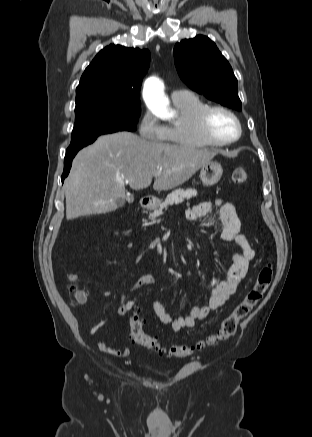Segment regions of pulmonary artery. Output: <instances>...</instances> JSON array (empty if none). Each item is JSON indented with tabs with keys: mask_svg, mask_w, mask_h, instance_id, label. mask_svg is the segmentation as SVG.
<instances>
[{
	"mask_svg": "<svg viewBox=\"0 0 312 437\" xmlns=\"http://www.w3.org/2000/svg\"><path fill=\"white\" fill-rule=\"evenodd\" d=\"M186 95H187L186 91H183V90H174L171 93V98H172L173 101H177V100L185 97Z\"/></svg>",
	"mask_w": 312,
	"mask_h": 437,
	"instance_id": "1",
	"label": "pulmonary artery"
}]
</instances>
